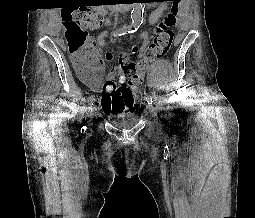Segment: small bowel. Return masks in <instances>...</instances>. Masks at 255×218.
<instances>
[{"label": "small bowel", "instance_id": "small-bowel-1", "mask_svg": "<svg viewBox=\"0 0 255 218\" xmlns=\"http://www.w3.org/2000/svg\"><path fill=\"white\" fill-rule=\"evenodd\" d=\"M165 10H166V7L164 5L152 10V12L150 14V22L152 24H157L160 21V19L163 17V15L165 13ZM171 11H172V8H171ZM108 35H109V33L107 31H103L96 39V45H97V48H98V52L103 57V60L104 59H110L112 57L111 56L110 58H107L106 55L103 56L99 51L100 48L105 46ZM91 62L93 64L92 59H91ZM129 62H130L129 57L125 54H121L120 58H119V67L117 69L113 70L112 72H110L107 75V79H115L117 76H124L126 74V67H127ZM99 91L102 92V90H99ZM103 97H104V95H103V92H102L101 104H102V101H103Z\"/></svg>", "mask_w": 255, "mask_h": 218}]
</instances>
